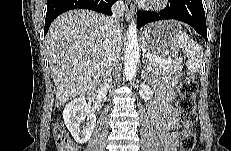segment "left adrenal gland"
Masks as SVG:
<instances>
[{"mask_svg":"<svg viewBox=\"0 0 231 151\" xmlns=\"http://www.w3.org/2000/svg\"><path fill=\"white\" fill-rule=\"evenodd\" d=\"M146 61V59H145V57L143 56V62H145ZM147 62V61H146ZM148 67L146 68H144V70H143V72H142V78L143 79H145V74H148ZM143 73H145V74H143Z\"/></svg>","mask_w":231,"mask_h":151,"instance_id":"a2214340","label":"left adrenal gland"}]
</instances>
